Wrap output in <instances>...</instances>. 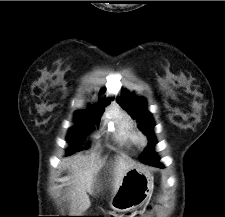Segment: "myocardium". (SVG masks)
<instances>
[{
    "label": "myocardium",
    "mask_w": 225,
    "mask_h": 217,
    "mask_svg": "<svg viewBox=\"0 0 225 217\" xmlns=\"http://www.w3.org/2000/svg\"><path fill=\"white\" fill-rule=\"evenodd\" d=\"M141 140H142L143 142H145V141H146V139H145V137H144V136H141Z\"/></svg>",
    "instance_id": "f54148a6"
}]
</instances>
